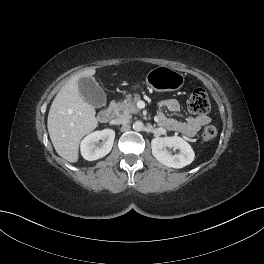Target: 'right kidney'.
<instances>
[{
    "label": "right kidney",
    "mask_w": 264,
    "mask_h": 264,
    "mask_svg": "<svg viewBox=\"0 0 264 264\" xmlns=\"http://www.w3.org/2000/svg\"><path fill=\"white\" fill-rule=\"evenodd\" d=\"M114 139L115 132L112 129L92 132L81 142V155L88 161L103 158L111 151ZM100 140H102L101 143H99Z\"/></svg>",
    "instance_id": "1"
}]
</instances>
